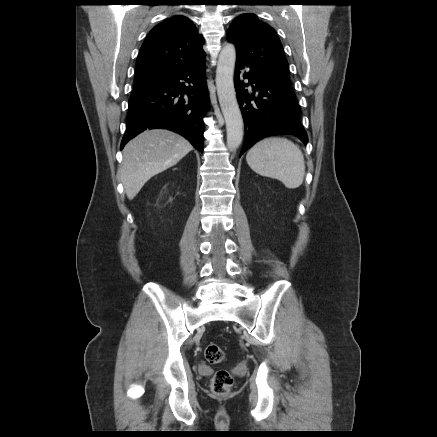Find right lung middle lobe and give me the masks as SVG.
Instances as JSON below:
<instances>
[{
  "label": "right lung middle lobe",
  "mask_w": 437,
  "mask_h": 437,
  "mask_svg": "<svg viewBox=\"0 0 437 437\" xmlns=\"http://www.w3.org/2000/svg\"><path fill=\"white\" fill-rule=\"evenodd\" d=\"M154 82H136L134 86V92L143 90L149 86H151Z\"/></svg>",
  "instance_id": "dd1d6c3e"
}]
</instances>
